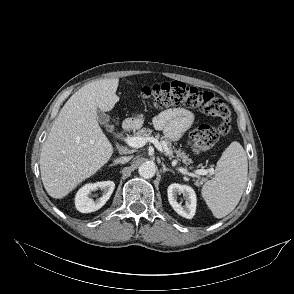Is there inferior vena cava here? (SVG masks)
<instances>
[{
  "label": "inferior vena cava",
  "mask_w": 294,
  "mask_h": 294,
  "mask_svg": "<svg viewBox=\"0 0 294 294\" xmlns=\"http://www.w3.org/2000/svg\"><path fill=\"white\" fill-rule=\"evenodd\" d=\"M130 159L131 157L122 156L120 158H117L115 162L124 164V163H127Z\"/></svg>",
  "instance_id": "obj_1"
}]
</instances>
